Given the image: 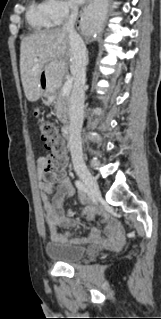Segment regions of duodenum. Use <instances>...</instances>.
I'll use <instances>...</instances> for the list:
<instances>
[{"instance_id": "1", "label": "duodenum", "mask_w": 161, "mask_h": 319, "mask_svg": "<svg viewBox=\"0 0 161 319\" xmlns=\"http://www.w3.org/2000/svg\"><path fill=\"white\" fill-rule=\"evenodd\" d=\"M63 136L65 140L70 144L71 142V127L68 123H65L62 127Z\"/></svg>"}]
</instances>
